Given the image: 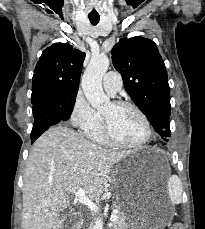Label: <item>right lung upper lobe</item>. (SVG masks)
<instances>
[{"instance_id": "right-lung-upper-lobe-1", "label": "right lung upper lobe", "mask_w": 205, "mask_h": 229, "mask_svg": "<svg viewBox=\"0 0 205 229\" xmlns=\"http://www.w3.org/2000/svg\"><path fill=\"white\" fill-rule=\"evenodd\" d=\"M84 59L85 53L67 43L46 48L34 71L32 101L78 91Z\"/></svg>"}]
</instances>
